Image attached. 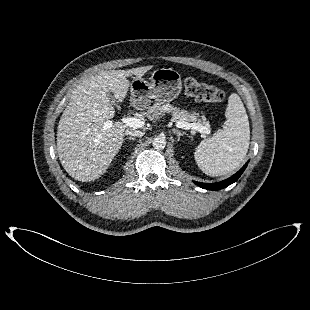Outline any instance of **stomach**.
<instances>
[{
	"instance_id": "1",
	"label": "stomach",
	"mask_w": 310,
	"mask_h": 310,
	"mask_svg": "<svg viewBox=\"0 0 310 310\" xmlns=\"http://www.w3.org/2000/svg\"><path fill=\"white\" fill-rule=\"evenodd\" d=\"M181 75L172 68H160L152 72L150 81L136 77L130 84L133 104L146 108L151 99L159 102H170L181 92Z\"/></svg>"
}]
</instances>
